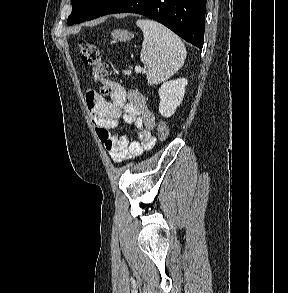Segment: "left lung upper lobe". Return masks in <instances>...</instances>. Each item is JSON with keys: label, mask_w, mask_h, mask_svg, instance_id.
Segmentation results:
<instances>
[{"label": "left lung upper lobe", "mask_w": 288, "mask_h": 293, "mask_svg": "<svg viewBox=\"0 0 288 293\" xmlns=\"http://www.w3.org/2000/svg\"><path fill=\"white\" fill-rule=\"evenodd\" d=\"M116 0H71L72 13L67 24H77L98 18Z\"/></svg>", "instance_id": "left-lung-upper-lobe-1"}]
</instances>
